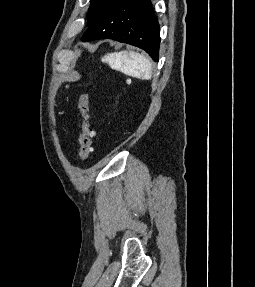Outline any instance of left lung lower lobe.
<instances>
[{
  "mask_svg": "<svg viewBox=\"0 0 255 287\" xmlns=\"http://www.w3.org/2000/svg\"><path fill=\"white\" fill-rule=\"evenodd\" d=\"M81 38L114 39L144 49L158 60L160 28L150 0H114Z\"/></svg>",
  "mask_w": 255,
  "mask_h": 287,
  "instance_id": "obj_1",
  "label": "left lung lower lobe"
}]
</instances>
